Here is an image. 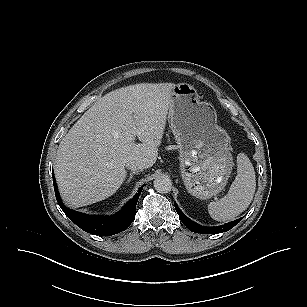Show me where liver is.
Here are the masks:
<instances>
[{
  "label": "liver",
  "instance_id": "obj_1",
  "mask_svg": "<svg viewBox=\"0 0 307 307\" xmlns=\"http://www.w3.org/2000/svg\"><path fill=\"white\" fill-rule=\"evenodd\" d=\"M173 83H141L100 98L59 144L54 174L64 202L78 208L113 195L126 178L125 164L152 167L171 104ZM136 132L141 143L130 140Z\"/></svg>",
  "mask_w": 307,
  "mask_h": 307
}]
</instances>
